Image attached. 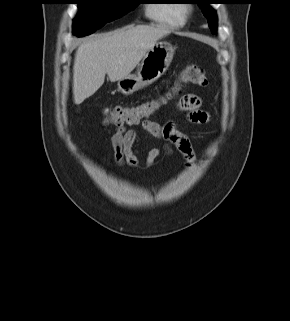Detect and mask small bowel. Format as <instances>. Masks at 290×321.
<instances>
[{"label":"small bowel","instance_id":"small-bowel-1","mask_svg":"<svg viewBox=\"0 0 290 321\" xmlns=\"http://www.w3.org/2000/svg\"><path fill=\"white\" fill-rule=\"evenodd\" d=\"M177 109L184 112L189 122L199 125L208 124L210 114L203 109L201 99L192 94L182 95L176 103ZM142 128L148 134L165 141L164 149L170 153L172 147L184 157L189 164L195 157L194 147L190 138L179 131L172 121L160 124L153 120H144ZM137 140V132L134 129H125L123 126H117L111 136L113 149V159L118 164H126L135 167L138 164V158L134 152V144ZM160 148H153L147 156V165L151 166L155 159L161 154Z\"/></svg>","mask_w":290,"mask_h":321}]
</instances>
